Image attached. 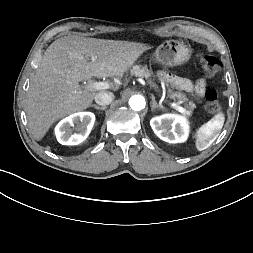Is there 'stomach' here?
Instances as JSON below:
<instances>
[{"instance_id": "1", "label": "stomach", "mask_w": 253, "mask_h": 253, "mask_svg": "<svg viewBox=\"0 0 253 253\" xmlns=\"http://www.w3.org/2000/svg\"><path fill=\"white\" fill-rule=\"evenodd\" d=\"M155 57L165 66H178L190 60L191 50L181 41L168 40L157 48Z\"/></svg>"}]
</instances>
